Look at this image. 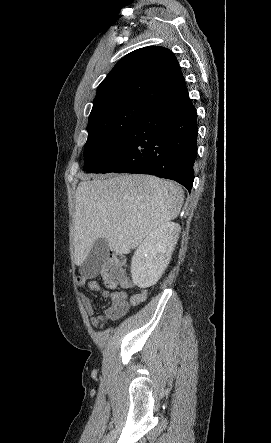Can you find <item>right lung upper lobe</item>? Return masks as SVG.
<instances>
[{
	"label": "right lung upper lobe",
	"mask_w": 271,
	"mask_h": 443,
	"mask_svg": "<svg viewBox=\"0 0 271 443\" xmlns=\"http://www.w3.org/2000/svg\"><path fill=\"white\" fill-rule=\"evenodd\" d=\"M185 91L186 84L175 55L164 47L149 46L117 62L100 83L92 109L123 99L154 103Z\"/></svg>",
	"instance_id": "cb5924a9"
}]
</instances>
